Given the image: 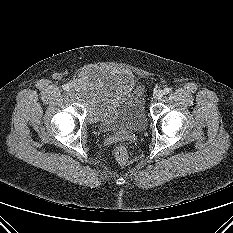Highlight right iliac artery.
<instances>
[{"mask_svg": "<svg viewBox=\"0 0 233 233\" xmlns=\"http://www.w3.org/2000/svg\"><path fill=\"white\" fill-rule=\"evenodd\" d=\"M63 89L67 91L69 89V85L68 84L63 85Z\"/></svg>", "mask_w": 233, "mask_h": 233, "instance_id": "1", "label": "right iliac artery"}]
</instances>
